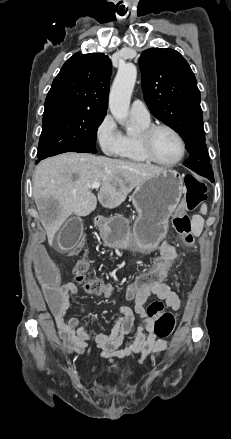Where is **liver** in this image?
<instances>
[{
    "mask_svg": "<svg viewBox=\"0 0 231 439\" xmlns=\"http://www.w3.org/2000/svg\"><path fill=\"white\" fill-rule=\"evenodd\" d=\"M164 170L88 153H64L41 161L33 178V195L49 245L70 215H89L97 199L105 208H116L135 187ZM93 183L101 184L97 198L91 192Z\"/></svg>",
    "mask_w": 231,
    "mask_h": 439,
    "instance_id": "6515ba94",
    "label": "liver"
}]
</instances>
